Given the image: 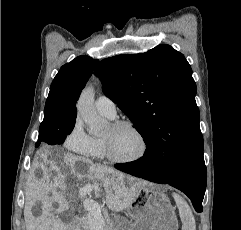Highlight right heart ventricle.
Returning a JSON list of instances; mask_svg holds the SVG:
<instances>
[{"instance_id":"1","label":"right heart ventricle","mask_w":241,"mask_h":230,"mask_svg":"<svg viewBox=\"0 0 241 230\" xmlns=\"http://www.w3.org/2000/svg\"><path fill=\"white\" fill-rule=\"evenodd\" d=\"M94 140V148L89 155L91 158H96V159H102L104 158L105 151H104V144H103V139L101 138H93Z\"/></svg>"}]
</instances>
